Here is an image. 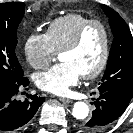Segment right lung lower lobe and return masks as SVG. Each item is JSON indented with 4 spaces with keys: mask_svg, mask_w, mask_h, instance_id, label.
Here are the masks:
<instances>
[{
    "mask_svg": "<svg viewBox=\"0 0 133 133\" xmlns=\"http://www.w3.org/2000/svg\"><path fill=\"white\" fill-rule=\"evenodd\" d=\"M29 80L21 77L16 84L0 88V131L21 130L37 112L44 102V97L27 95L24 101L17 99L19 87H26Z\"/></svg>",
    "mask_w": 133,
    "mask_h": 133,
    "instance_id": "1",
    "label": "right lung lower lobe"
}]
</instances>
